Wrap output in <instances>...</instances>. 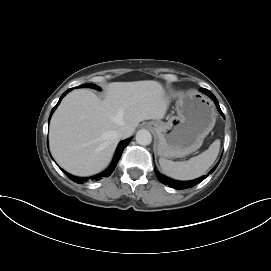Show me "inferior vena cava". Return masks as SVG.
<instances>
[{"label":"inferior vena cava","mask_w":271,"mask_h":271,"mask_svg":"<svg viewBox=\"0 0 271 271\" xmlns=\"http://www.w3.org/2000/svg\"><path fill=\"white\" fill-rule=\"evenodd\" d=\"M134 132V128L128 125L122 126L118 129L117 134L120 138H128Z\"/></svg>","instance_id":"obj_1"}]
</instances>
